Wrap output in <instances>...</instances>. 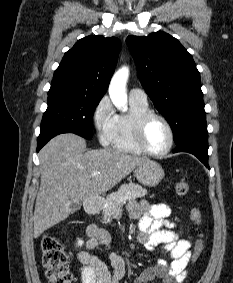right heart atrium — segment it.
Instances as JSON below:
<instances>
[{"label":"right heart atrium","mask_w":233,"mask_h":283,"mask_svg":"<svg viewBox=\"0 0 233 283\" xmlns=\"http://www.w3.org/2000/svg\"><path fill=\"white\" fill-rule=\"evenodd\" d=\"M116 117L117 114L109 97H102L96 104L92 114L93 126L102 146L112 144Z\"/></svg>","instance_id":"obj_1"}]
</instances>
